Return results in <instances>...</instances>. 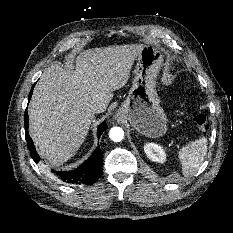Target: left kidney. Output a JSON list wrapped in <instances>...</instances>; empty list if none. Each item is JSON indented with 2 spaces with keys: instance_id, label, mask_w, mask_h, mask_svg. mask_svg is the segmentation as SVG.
Returning <instances> with one entry per match:
<instances>
[{
  "instance_id": "obj_1",
  "label": "left kidney",
  "mask_w": 233,
  "mask_h": 233,
  "mask_svg": "<svg viewBox=\"0 0 233 233\" xmlns=\"http://www.w3.org/2000/svg\"><path fill=\"white\" fill-rule=\"evenodd\" d=\"M144 151L149 159L154 162L164 163L166 161V153L164 149L155 143H148L144 145Z\"/></svg>"
}]
</instances>
